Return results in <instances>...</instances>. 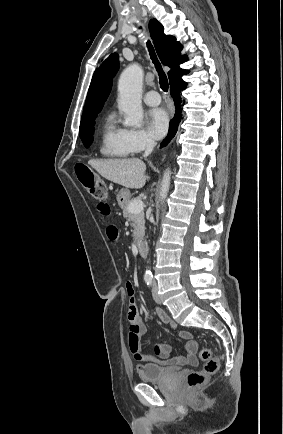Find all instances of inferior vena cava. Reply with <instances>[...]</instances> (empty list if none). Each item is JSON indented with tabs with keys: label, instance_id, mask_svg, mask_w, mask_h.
I'll use <instances>...</instances> for the list:
<instances>
[{
	"label": "inferior vena cava",
	"instance_id": "1",
	"mask_svg": "<svg viewBox=\"0 0 283 434\" xmlns=\"http://www.w3.org/2000/svg\"><path fill=\"white\" fill-rule=\"evenodd\" d=\"M154 147H155V142L152 139H147L144 157H147L148 155H150L151 152L153 151Z\"/></svg>",
	"mask_w": 283,
	"mask_h": 434
}]
</instances>
